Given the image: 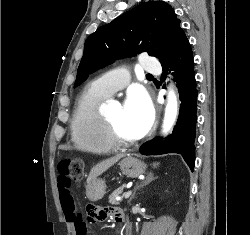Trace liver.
Instances as JSON below:
<instances>
[{
	"instance_id": "1",
	"label": "liver",
	"mask_w": 250,
	"mask_h": 235,
	"mask_svg": "<svg viewBox=\"0 0 250 235\" xmlns=\"http://www.w3.org/2000/svg\"><path fill=\"white\" fill-rule=\"evenodd\" d=\"M122 157L123 155H117L115 157L102 161L96 166H94L91 169L89 176L87 178V184L89 185L94 179L103 174L106 170H108L111 166H113L116 162H118Z\"/></svg>"
}]
</instances>
